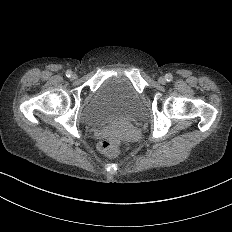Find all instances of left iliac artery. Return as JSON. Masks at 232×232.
<instances>
[{
  "label": "left iliac artery",
  "mask_w": 232,
  "mask_h": 232,
  "mask_svg": "<svg viewBox=\"0 0 232 232\" xmlns=\"http://www.w3.org/2000/svg\"><path fill=\"white\" fill-rule=\"evenodd\" d=\"M165 79H166L167 82L172 81V79H173L172 74H171V73H167V74L165 75Z\"/></svg>",
  "instance_id": "44dca946"
}]
</instances>
